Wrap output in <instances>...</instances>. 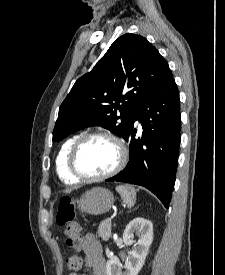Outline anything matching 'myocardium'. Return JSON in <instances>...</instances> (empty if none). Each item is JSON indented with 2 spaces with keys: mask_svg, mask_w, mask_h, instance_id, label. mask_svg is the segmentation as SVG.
<instances>
[{
  "mask_svg": "<svg viewBox=\"0 0 225 275\" xmlns=\"http://www.w3.org/2000/svg\"><path fill=\"white\" fill-rule=\"evenodd\" d=\"M94 138H103L112 141L118 148V161L115 167L101 175H85L82 174L77 168V156L83 145ZM128 160V150L121 138L107 132L95 131L81 135L72 145L68 155V169L72 176L77 180L82 181H101L111 178L118 174L126 165Z\"/></svg>",
  "mask_w": 225,
  "mask_h": 275,
  "instance_id": "f54148a6",
  "label": "myocardium"
}]
</instances>
